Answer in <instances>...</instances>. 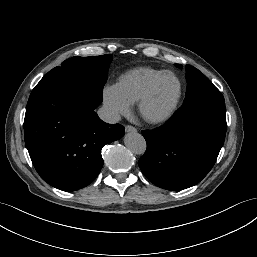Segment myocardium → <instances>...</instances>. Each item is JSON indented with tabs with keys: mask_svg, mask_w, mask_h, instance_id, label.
Returning <instances> with one entry per match:
<instances>
[{
	"mask_svg": "<svg viewBox=\"0 0 257 257\" xmlns=\"http://www.w3.org/2000/svg\"><path fill=\"white\" fill-rule=\"evenodd\" d=\"M169 75L174 76L179 83V92H178V95L176 97V100H175L174 104L172 105V107L164 115L159 116V117H150L146 114L145 107H146L147 103L150 101V99L152 98L158 84L166 76H169ZM183 96H184V84H183L182 79L179 77L178 74H176L173 71H165L164 73H162L161 75L156 77L150 83V85L148 86V88L146 89V91L144 92L142 97L140 98V100L138 102L139 114L145 122H147L151 125L165 124L168 121H170L175 116V114L178 112V110L181 106V103H182Z\"/></svg>",
	"mask_w": 257,
	"mask_h": 257,
	"instance_id": "f54148a6",
	"label": "myocardium"
}]
</instances>
